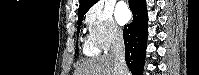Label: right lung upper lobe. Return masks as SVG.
I'll return each mask as SVG.
<instances>
[{
    "label": "right lung upper lobe",
    "mask_w": 199,
    "mask_h": 75,
    "mask_svg": "<svg viewBox=\"0 0 199 75\" xmlns=\"http://www.w3.org/2000/svg\"><path fill=\"white\" fill-rule=\"evenodd\" d=\"M98 0H80L78 9V17L84 16L85 13L97 2Z\"/></svg>",
    "instance_id": "cb5924a9"
}]
</instances>
